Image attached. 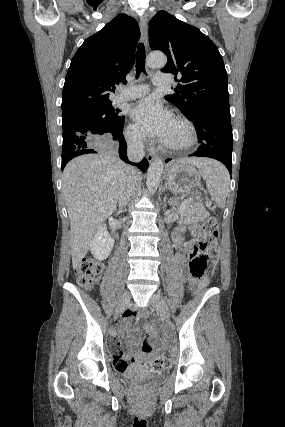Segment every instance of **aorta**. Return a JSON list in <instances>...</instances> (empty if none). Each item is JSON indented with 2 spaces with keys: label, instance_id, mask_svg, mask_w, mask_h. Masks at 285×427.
I'll list each match as a JSON object with an SVG mask.
<instances>
[{
  "label": "aorta",
  "instance_id": "762f6f07",
  "mask_svg": "<svg viewBox=\"0 0 285 427\" xmlns=\"http://www.w3.org/2000/svg\"><path fill=\"white\" fill-rule=\"evenodd\" d=\"M167 63V57L162 52H152L147 58L149 68H162ZM164 164L162 159L158 158L152 162L148 169L146 186L149 194H153L158 189L163 173Z\"/></svg>",
  "mask_w": 285,
  "mask_h": 427
}]
</instances>
